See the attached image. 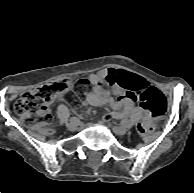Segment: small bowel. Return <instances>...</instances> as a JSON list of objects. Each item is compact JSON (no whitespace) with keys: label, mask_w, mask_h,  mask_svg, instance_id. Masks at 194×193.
Returning a JSON list of instances; mask_svg holds the SVG:
<instances>
[{"label":"small bowel","mask_w":194,"mask_h":193,"mask_svg":"<svg viewBox=\"0 0 194 193\" xmlns=\"http://www.w3.org/2000/svg\"><path fill=\"white\" fill-rule=\"evenodd\" d=\"M118 72L115 69H105L88 77L92 90L82 100L83 106L109 105L112 111L103 116V121L119 119L131 115L134 119H149L147 111L134 107V102L127 96L115 97L111 92V85L115 81ZM137 89L142 90L152 86L144 79L137 80ZM123 88V87H122ZM125 89V88H124Z\"/></svg>","instance_id":"c3829d8e"}]
</instances>
